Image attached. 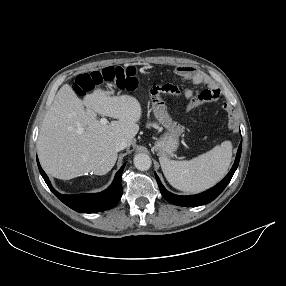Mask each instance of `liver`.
Masks as SVG:
<instances>
[{"label":"liver","mask_w":286,"mask_h":286,"mask_svg":"<svg viewBox=\"0 0 286 286\" xmlns=\"http://www.w3.org/2000/svg\"><path fill=\"white\" fill-rule=\"evenodd\" d=\"M97 114L117 119L103 125ZM139 101L130 95L111 96L95 90L84 100L63 85L47 111L37 141L43 169L53 177L69 180L78 174L105 175L117 160L115 143L130 145L139 131Z\"/></svg>","instance_id":"1"}]
</instances>
